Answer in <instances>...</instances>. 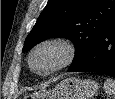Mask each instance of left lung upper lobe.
Instances as JSON below:
<instances>
[{"instance_id": "1", "label": "left lung upper lobe", "mask_w": 115, "mask_h": 99, "mask_svg": "<svg viewBox=\"0 0 115 99\" xmlns=\"http://www.w3.org/2000/svg\"><path fill=\"white\" fill-rule=\"evenodd\" d=\"M114 22L115 0H49L27 36L23 52L51 37L67 38L75 45L72 68Z\"/></svg>"}]
</instances>
